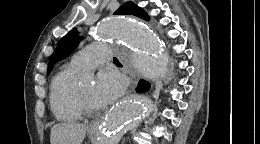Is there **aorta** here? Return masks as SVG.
<instances>
[{
  "mask_svg": "<svg viewBox=\"0 0 260 144\" xmlns=\"http://www.w3.org/2000/svg\"><path fill=\"white\" fill-rule=\"evenodd\" d=\"M100 39H114L128 49H121V60L148 79L163 76L165 47L159 37L143 21L133 17L104 20L96 32ZM92 79L93 74L87 73ZM151 100L143 95L132 96L118 103L107 115L97 144H119L126 131L137 127L150 112Z\"/></svg>",
  "mask_w": 260,
  "mask_h": 144,
  "instance_id": "aorta-1",
  "label": "aorta"
}]
</instances>
